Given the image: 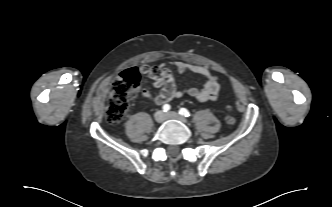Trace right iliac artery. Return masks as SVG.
<instances>
[{
  "label": "right iliac artery",
  "mask_w": 332,
  "mask_h": 207,
  "mask_svg": "<svg viewBox=\"0 0 332 207\" xmlns=\"http://www.w3.org/2000/svg\"><path fill=\"white\" fill-rule=\"evenodd\" d=\"M170 110V105L169 104H165V105H163V111L164 112H167V111H169Z\"/></svg>",
  "instance_id": "1"
}]
</instances>
